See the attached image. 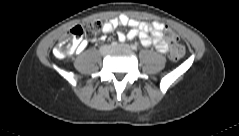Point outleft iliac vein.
I'll return each instance as SVG.
<instances>
[{"instance_id":"4c4485c4","label":"left iliac vein","mask_w":239,"mask_h":136,"mask_svg":"<svg viewBox=\"0 0 239 136\" xmlns=\"http://www.w3.org/2000/svg\"><path fill=\"white\" fill-rule=\"evenodd\" d=\"M118 47L125 48V49H129L130 48L129 45H127V44H119V45L114 46L112 48H118Z\"/></svg>"}]
</instances>
